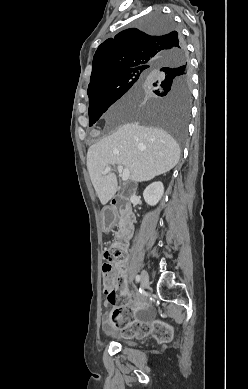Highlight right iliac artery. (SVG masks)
I'll return each instance as SVG.
<instances>
[{
    "mask_svg": "<svg viewBox=\"0 0 248 389\" xmlns=\"http://www.w3.org/2000/svg\"><path fill=\"white\" fill-rule=\"evenodd\" d=\"M135 279H136L137 282H140V276L139 275H136Z\"/></svg>",
    "mask_w": 248,
    "mask_h": 389,
    "instance_id": "82829eb1",
    "label": "right iliac artery"
}]
</instances>
